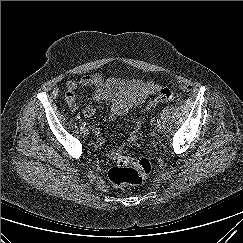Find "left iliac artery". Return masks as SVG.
Wrapping results in <instances>:
<instances>
[{"mask_svg":"<svg viewBox=\"0 0 243 243\" xmlns=\"http://www.w3.org/2000/svg\"><path fill=\"white\" fill-rule=\"evenodd\" d=\"M157 123H158V124H160V123H161L160 119H157Z\"/></svg>","mask_w":243,"mask_h":243,"instance_id":"obj_1","label":"left iliac artery"}]
</instances>
